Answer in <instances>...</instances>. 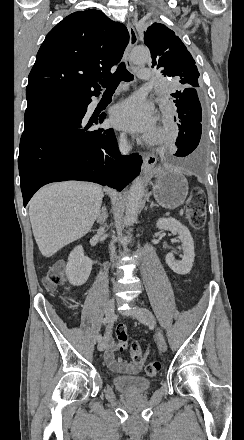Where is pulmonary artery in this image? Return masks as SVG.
Returning a JSON list of instances; mask_svg holds the SVG:
<instances>
[{
    "label": "pulmonary artery",
    "mask_w": 244,
    "mask_h": 440,
    "mask_svg": "<svg viewBox=\"0 0 244 440\" xmlns=\"http://www.w3.org/2000/svg\"><path fill=\"white\" fill-rule=\"evenodd\" d=\"M151 75V72L149 69H138L137 76L138 78H149Z\"/></svg>",
    "instance_id": "obj_1"
}]
</instances>
